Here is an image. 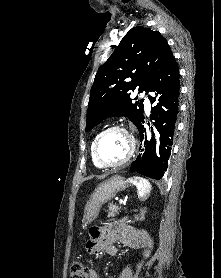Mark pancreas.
<instances>
[{"label": "pancreas", "mask_w": 221, "mask_h": 278, "mask_svg": "<svg viewBox=\"0 0 221 278\" xmlns=\"http://www.w3.org/2000/svg\"><path fill=\"white\" fill-rule=\"evenodd\" d=\"M121 211V206L111 204L108 210V217H114Z\"/></svg>", "instance_id": "cf45deb5"}]
</instances>
